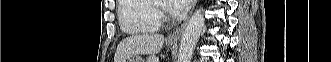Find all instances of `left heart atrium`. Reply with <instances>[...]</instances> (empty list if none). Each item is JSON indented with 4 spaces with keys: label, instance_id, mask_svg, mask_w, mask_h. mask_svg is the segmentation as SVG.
I'll return each mask as SVG.
<instances>
[{
    "label": "left heart atrium",
    "instance_id": "left-heart-atrium-1",
    "mask_svg": "<svg viewBox=\"0 0 331 62\" xmlns=\"http://www.w3.org/2000/svg\"><path fill=\"white\" fill-rule=\"evenodd\" d=\"M167 2V10L175 15L185 13L191 3V0H168Z\"/></svg>",
    "mask_w": 331,
    "mask_h": 62
}]
</instances>
